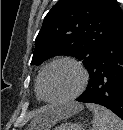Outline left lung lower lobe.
I'll return each instance as SVG.
<instances>
[{
    "label": "left lung lower lobe",
    "mask_w": 123,
    "mask_h": 130,
    "mask_svg": "<svg viewBox=\"0 0 123 130\" xmlns=\"http://www.w3.org/2000/svg\"><path fill=\"white\" fill-rule=\"evenodd\" d=\"M88 72L89 86L77 101L102 105L123 119V25Z\"/></svg>",
    "instance_id": "1"
}]
</instances>
